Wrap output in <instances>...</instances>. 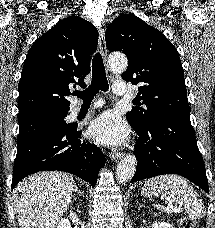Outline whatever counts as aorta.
<instances>
[{
    "instance_id": "1",
    "label": "aorta",
    "mask_w": 215,
    "mask_h": 228,
    "mask_svg": "<svg viewBox=\"0 0 215 228\" xmlns=\"http://www.w3.org/2000/svg\"><path fill=\"white\" fill-rule=\"evenodd\" d=\"M109 64L111 68L123 72V70H127L128 60L123 54H113V56H109ZM136 166L137 162L134 156L124 158L117 166L116 178L118 182H120V184H122V182H129L136 172Z\"/></svg>"
}]
</instances>
